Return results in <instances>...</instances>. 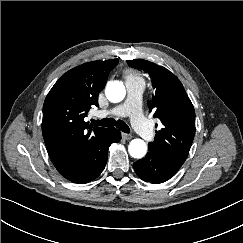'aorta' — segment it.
I'll use <instances>...</instances> for the list:
<instances>
[{
  "instance_id": "762f6f07",
  "label": "aorta",
  "mask_w": 243,
  "mask_h": 243,
  "mask_svg": "<svg viewBox=\"0 0 243 243\" xmlns=\"http://www.w3.org/2000/svg\"><path fill=\"white\" fill-rule=\"evenodd\" d=\"M105 94L110 102L118 103L125 97L126 90L122 82L113 81L106 85ZM129 154L137 159L145 156L147 145L142 139H133L128 146Z\"/></svg>"
}]
</instances>
